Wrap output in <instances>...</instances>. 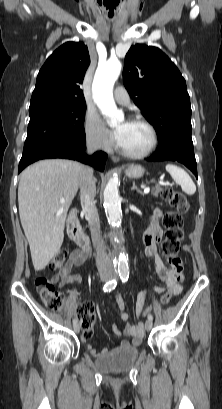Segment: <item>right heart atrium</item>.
<instances>
[{
  "label": "right heart atrium",
  "mask_w": 222,
  "mask_h": 409,
  "mask_svg": "<svg viewBox=\"0 0 222 409\" xmlns=\"http://www.w3.org/2000/svg\"><path fill=\"white\" fill-rule=\"evenodd\" d=\"M84 132L87 143L92 147L103 151L111 149L112 142L97 113L90 110L86 112Z\"/></svg>",
  "instance_id": "d8ad5b80"
}]
</instances>
